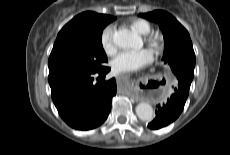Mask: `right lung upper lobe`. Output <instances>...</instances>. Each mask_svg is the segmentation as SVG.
<instances>
[{"instance_id":"cb5924a9","label":"right lung upper lobe","mask_w":230,"mask_h":155,"mask_svg":"<svg viewBox=\"0 0 230 155\" xmlns=\"http://www.w3.org/2000/svg\"><path fill=\"white\" fill-rule=\"evenodd\" d=\"M116 17L97 14L92 11L83 12L69 21L59 32L57 39L86 38L103 31L105 26L114 21Z\"/></svg>"}]
</instances>
